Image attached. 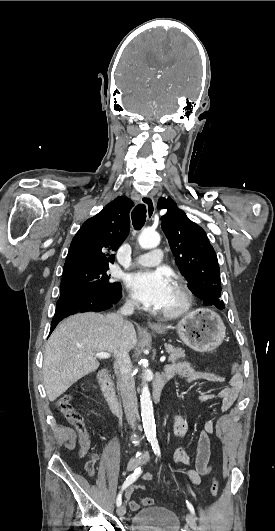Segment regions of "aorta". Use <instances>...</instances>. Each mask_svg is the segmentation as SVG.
Returning <instances> with one entry per match:
<instances>
[{
    "instance_id": "obj_1",
    "label": "aorta",
    "mask_w": 275,
    "mask_h": 531,
    "mask_svg": "<svg viewBox=\"0 0 275 531\" xmlns=\"http://www.w3.org/2000/svg\"><path fill=\"white\" fill-rule=\"evenodd\" d=\"M138 243L141 249H155V247H158L160 243V235H158L156 231L144 229V231H142L138 237ZM140 403L143 429L146 435L152 439V437H156L155 419L151 395L146 383H143V389L140 395Z\"/></svg>"
}]
</instances>
